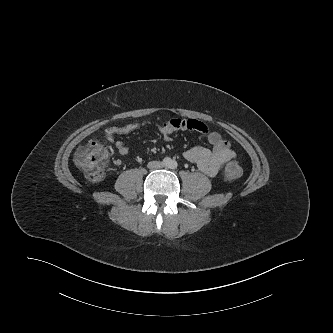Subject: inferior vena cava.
<instances>
[{
  "instance_id": "602c4592",
  "label": "inferior vena cava",
  "mask_w": 333,
  "mask_h": 333,
  "mask_svg": "<svg viewBox=\"0 0 333 333\" xmlns=\"http://www.w3.org/2000/svg\"><path fill=\"white\" fill-rule=\"evenodd\" d=\"M147 167L149 169H159L163 167V164L160 161H151L148 163Z\"/></svg>"
}]
</instances>
